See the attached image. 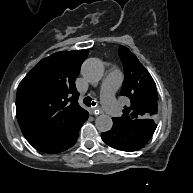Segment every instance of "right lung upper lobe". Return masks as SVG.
Returning <instances> with one entry per match:
<instances>
[{
    "label": "right lung upper lobe",
    "instance_id": "1",
    "mask_svg": "<svg viewBox=\"0 0 193 193\" xmlns=\"http://www.w3.org/2000/svg\"><path fill=\"white\" fill-rule=\"evenodd\" d=\"M88 50L61 51L41 60L21 81L16 114L27 141L51 153L78 134L89 114L78 104L75 80Z\"/></svg>",
    "mask_w": 193,
    "mask_h": 193
}]
</instances>
